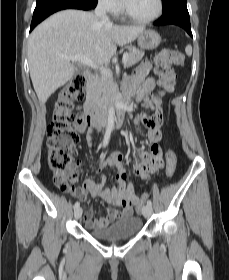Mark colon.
I'll use <instances>...</instances> for the list:
<instances>
[{
    "label": "colon",
    "mask_w": 229,
    "mask_h": 280,
    "mask_svg": "<svg viewBox=\"0 0 229 280\" xmlns=\"http://www.w3.org/2000/svg\"><path fill=\"white\" fill-rule=\"evenodd\" d=\"M184 56L181 52L172 49H162L155 57V73L159 82L170 84L176 75L173 65H182ZM86 79L83 76H75L62 87L54 98V108L52 121L47 131V162L50 169L54 172V183L62 190H72L70 185L68 168L73 165V148L78 141V134L86 129L88 122L73 111L75 101H80L84 97ZM150 97L147 103H152ZM143 122L149 128L159 126L161 118L153 115L151 118H143ZM159 160H154L153 165L159 164ZM177 168L176 155L172 151L166 153V176L172 177ZM147 196L140 200L129 199L125 203L135 206L141 210Z\"/></svg>",
    "instance_id": "5ec220e1"
}]
</instances>
